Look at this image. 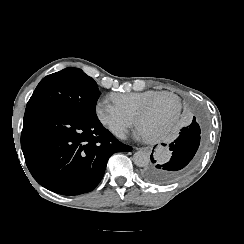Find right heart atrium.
Returning a JSON list of instances; mask_svg holds the SVG:
<instances>
[{
    "mask_svg": "<svg viewBox=\"0 0 244 244\" xmlns=\"http://www.w3.org/2000/svg\"><path fill=\"white\" fill-rule=\"evenodd\" d=\"M95 111L100 122L117 137H124L130 129L134 128L146 136L150 135V131L143 129L137 123L138 115L131 108L104 99L97 102Z\"/></svg>",
    "mask_w": 244,
    "mask_h": 244,
    "instance_id": "1",
    "label": "right heart atrium"
}]
</instances>
